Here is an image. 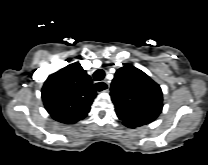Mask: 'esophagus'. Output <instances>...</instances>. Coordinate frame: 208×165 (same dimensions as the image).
<instances>
[{
    "label": "esophagus",
    "instance_id": "esophagus-1",
    "mask_svg": "<svg viewBox=\"0 0 208 165\" xmlns=\"http://www.w3.org/2000/svg\"><path fill=\"white\" fill-rule=\"evenodd\" d=\"M96 84H100V85H102L103 87H105V89H104L105 91H108L109 88H110L109 83L106 82V81L96 82V83L94 84V86H95Z\"/></svg>",
    "mask_w": 208,
    "mask_h": 165
}]
</instances>
